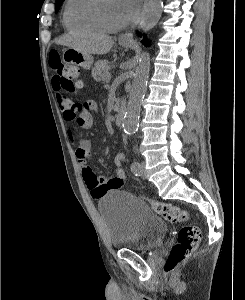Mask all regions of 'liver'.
<instances>
[{
  "label": "liver",
  "instance_id": "obj_1",
  "mask_svg": "<svg viewBox=\"0 0 245 300\" xmlns=\"http://www.w3.org/2000/svg\"><path fill=\"white\" fill-rule=\"evenodd\" d=\"M56 43L83 53L103 55L111 50L114 41L109 36L93 33L64 35Z\"/></svg>",
  "mask_w": 245,
  "mask_h": 300
}]
</instances>
